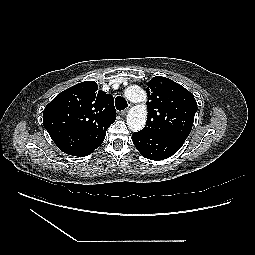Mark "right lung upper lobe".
<instances>
[{
  "instance_id": "cb5924a9",
  "label": "right lung upper lobe",
  "mask_w": 255,
  "mask_h": 255,
  "mask_svg": "<svg viewBox=\"0 0 255 255\" xmlns=\"http://www.w3.org/2000/svg\"><path fill=\"white\" fill-rule=\"evenodd\" d=\"M113 96L95 81L78 83L59 93L44 109L43 124L60 150L82 155L116 119Z\"/></svg>"
}]
</instances>
